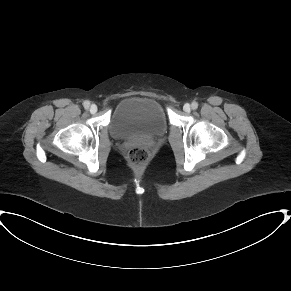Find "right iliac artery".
I'll list each match as a JSON object with an SVG mask.
<instances>
[{"label": "right iliac artery", "mask_w": 291, "mask_h": 291, "mask_svg": "<svg viewBox=\"0 0 291 291\" xmlns=\"http://www.w3.org/2000/svg\"><path fill=\"white\" fill-rule=\"evenodd\" d=\"M83 106L88 109L90 106V102L89 101H84Z\"/></svg>", "instance_id": "right-iliac-artery-1"}]
</instances>
